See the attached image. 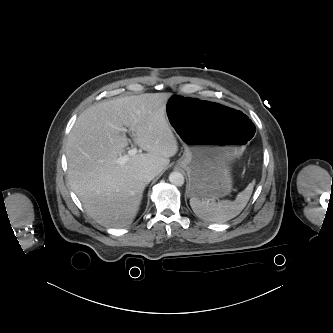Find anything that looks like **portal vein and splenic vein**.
Returning a JSON list of instances; mask_svg holds the SVG:
<instances>
[{"mask_svg": "<svg viewBox=\"0 0 333 333\" xmlns=\"http://www.w3.org/2000/svg\"><path fill=\"white\" fill-rule=\"evenodd\" d=\"M122 131L127 132V129L123 128ZM136 153H137V148L136 147L131 148V149L128 150V154L120 156L119 158L116 159L115 162H116V164L123 165L129 160L130 156H133Z\"/></svg>", "mask_w": 333, "mask_h": 333, "instance_id": "18ae733b", "label": "portal vein and splenic vein"}]
</instances>
